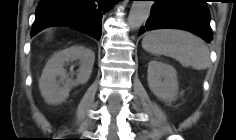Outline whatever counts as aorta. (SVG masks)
<instances>
[{
    "instance_id": "obj_1",
    "label": "aorta",
    "mask_w": 236,
    "mask_h": 140,
    "mask_svg": "<svg viewBox=\"0 0 236 140\" xmlns=\"http://www.w3.org/2000/svg\"><path fill=\"white\" fill-rule=\"evenodd\" d=\"M151 6V1H133L127 21L130 29L136 30L141 27L150 14Z\"/></svg>"
}]
</instances>
